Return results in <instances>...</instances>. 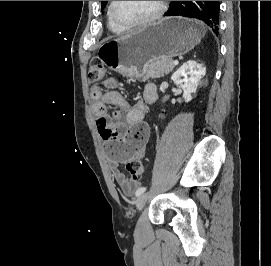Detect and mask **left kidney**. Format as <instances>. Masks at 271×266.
<instances>
[{"label":"left kidney","instance_id":"left-kidney-1","mask_svg":"<svg viewBox=\"0 0 271 266\" xmlns=\"http://www.w3.org/2000/svg\"><path fill=\"white\" fill-rule=\"evenodd\" d=\"M206 68L196 61L184 63L172 76L171 80L183 89L185 102L192 100V94L196 92L201 78L205 76ZM184 77V78H183Z\"/></svg>","mask_w":271,"mask_h":266}]
</instances>
